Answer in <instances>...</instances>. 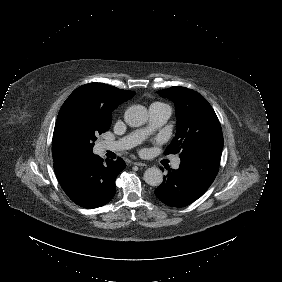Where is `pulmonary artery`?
Listing matches in <instances>:
<instances>
[{"instance_id": "obj_1", "label": "pulmonary artery", "mask_w": 282, "mask_h": 282, "mask_svg": "<svg viewBox=\"0 0 282 282\" xmlns=\"http://www.w3.org/2000/svg\"><path fill=\"white\" fill-rule=\"evenodd\" d=\"M171 107L164 103H153L149 107V126L145 129L134 131L124 138L116 142H107L105 144L106 150L118 151L126 150L134 147L140 143L147 135H149L154 129L162 126L171 116ZM180 165V159L176 158L173 162V167L178 168Z\"/></svg>"}]
</instances>
